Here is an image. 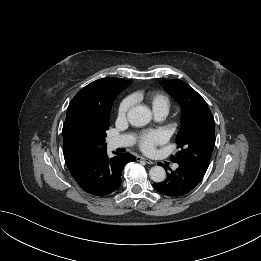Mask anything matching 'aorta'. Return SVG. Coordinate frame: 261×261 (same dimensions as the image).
I'll return each mask as SVG.
<instances>
[{"label": "aorta", "instance_id": "762f6f07", "mask_svg": "<svg viewBox=\"0 0 261 261\" xmlns=\"http://www.w3.org/2000/svg\"><path fill=\"white\" fill-rule=\"evenodd\" d=\"M129 123L135 127H142L147 125L152 119V113L149 108L145 106L132 107L127 114ZM150 178L156 182H163L166 178L165 169L161 166H154L149 171Z\"/></svg>", "mask_w": 261, "mask_h": 261}]
</instances>
